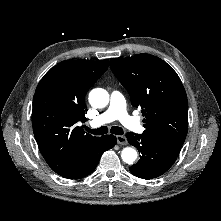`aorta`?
Here are the masks:
<instances>
[{
	"instance_id": "aorta-1",
	"label": "aorta",
	"mask_w": 221,
	"mask_h": 221,
	"mask_svg": "<svg viewBox=\"0 0 221 221\" xmlns=\"http://www.w3.org/2000/svg\"><path fill=\"white\" fill-rule=\"evenodd\" d=\"M89 103L95 108H104L109 103V94L105 89L95 88L89 93ZM122 160L127 164H133L137 159V151L134 148L126 147L121 152Z\"/></svg>"
}]
</instances>
